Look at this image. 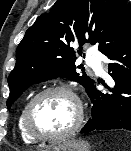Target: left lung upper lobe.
<instances>
[{"mask_svg":"<svg viewBox=\"0 0 131 151\" xmlns=\"http://www.w3.org/2000/svg\"><path fill=\"white\" fill-rule=\"evenodd\" d=\"M131 37V8L125 0H57L26 31L8 78V109L29 86L57 77L80 83L86 91L94 80L76 72V56L86 43L104 55Z\"/></svg>","mask_w":131,"mask_h":151,"instance_id":"obj_1","label":"left lung upper lobe"}]
</instances>
